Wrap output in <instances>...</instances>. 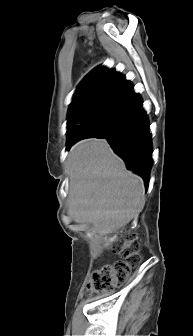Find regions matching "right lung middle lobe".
Masks as SVG:
<instances>
[{
    "instance_id": "right-lung-middle-lobe-1",
    "label": "right lung middle lobe",
    "mask_w": 193,
    "mask_h": 336,
    "mask_svg": "<svg viewBox=\"0 0 193 336\" xmlns=\"http://www.w3.org/2000/svg\"><path fill=\"white\" fill-rule=\"evenodd\" d=\"M112 111L113 109H107L93 119L80 121L71 127L70 132L85 135L84 138L95 137L103 129Z\"/></svg>"
}]
</instances>
